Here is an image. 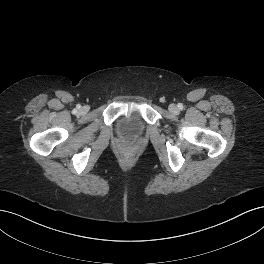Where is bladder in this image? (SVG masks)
Listing matches in <instances>:
<instances>
[{
  "mask_svg": "<svg viewBox=\"0 0 264 264\" xmlns=\"http://www.w3.org/2000/svg\"><path fill=\"white\" fill-rule=\"evenodd\" d=\"M120 136L126 140H135L145 131V123L137 114L124 115L117 122Z\"/></svg>",
  "mask_w": 264,
  "mask_h": 264,
  "instance_id": "1",
  "label": "bladder"
}]
</instances>
